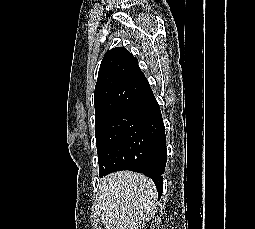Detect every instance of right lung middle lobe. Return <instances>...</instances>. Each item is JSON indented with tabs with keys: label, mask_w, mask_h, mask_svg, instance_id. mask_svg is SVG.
Returning <instances> with one entry per match:
<instances>
[{
	"label": "right lung middle lobe",
	"mask_w": 255,
	"mask_h": 229,
	"mask_svg": "<svg viewBox=\"0 0 255 229\" xmlns=\"http://www.w3.org/2000/svg\"><path fill=\"white\" fill-rule=\"evenodd\" d=\"M99 176L140 165L155 132L144 123L127 115L117 114L95 130Z\"/></svg>",
	"instance_id": "obj_1"
}]
</instances>
